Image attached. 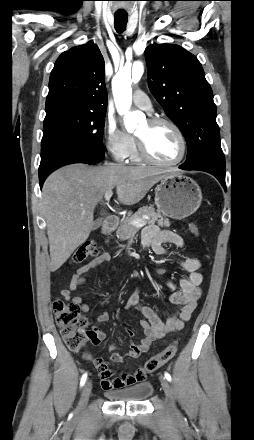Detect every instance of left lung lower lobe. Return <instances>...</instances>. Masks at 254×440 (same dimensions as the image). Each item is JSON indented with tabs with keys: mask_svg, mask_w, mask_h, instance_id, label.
I'll use <instances>...</instances> for the list:
<instances>
[{
	"mask_svg": "<svg viewBox=\"0 0 254 440\" xmlns=\"http://www.w3.org/2000/svg\"><path fill=\"white\" fill-rule=\"evenodd\" d=\"M179 168L183 169V170H200V171L208 172V173L214 175L219 180V182L222 184L224 189H226L225 168H222L217 165L210 164V163H202V164H199L196 166H191V167H186L184 165H181Z\"/></svg>",
	"mask_w": 254,
	"mask_h": 440,
	"instance_id": "0a47b994",
	"label": "left lung lower lobe"
}]
</instances>
